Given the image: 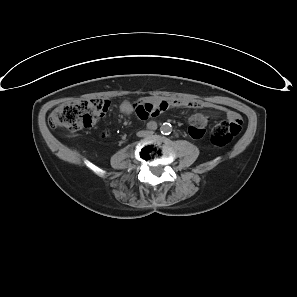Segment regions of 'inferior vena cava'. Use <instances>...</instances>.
<instances>
[{
    "mask_svg": "<svg viewBox=\"0 0 297 297\" xmlns=\"http://www.w3.org/2000/svg\"><path fill=\"white\" fill-rule=\"evenodd\" d=\"M153 133V131H139L138 133H137V135L139 136V137H145V136H149V135H151Z\"/></svg>",
    "mask_w": 297,
    "mask_h": 297,
    "instance_id": "inferior-vena-cava-1",
    "label": "inferior vena cava"
}]
</instances>
